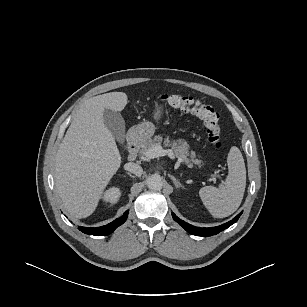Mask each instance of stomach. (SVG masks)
Here are the masks:
<instances>
[{"label": "stomach", "instance_id": "1", "mask_svg": "<svg viewBox=\"0 0 307 307\" xmlns=\"http://www.w3.org/2000/svg\"><path fill=\"white\" fill-rule=\"evenodd\" d=\"M161 115V110L156 108L154 111V117L158 119ZM135 133V137L139 140H146L150 138L155 132V126L149 121L142 122L132 128Z\"/></svg>", "mask_w": 307, "mask_h": 307}]
</instances>
